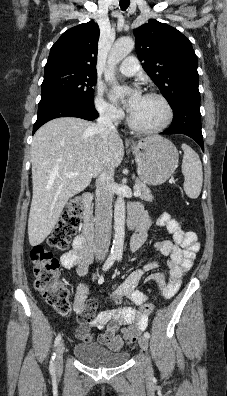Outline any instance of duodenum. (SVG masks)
<instances>
[{"label":"duodenum","instance_id":"obj_1","mask_svg":"<svg viewBox=\"0 0 227 396\" xmlns=\"http://www.w3.org/2000/svg\"><path fill=\"white\" fill-rule=\"evenodd\" d=\"M84 211V225L82 231V238L88 248L94 245V223L92 217V201H93V193L88 191L82 196ZM137 225V217L134 214L129 215L128 226L130 229L135 228Z\"/></svg>","mask_w":227,"mask_h":396}]
</instances>
